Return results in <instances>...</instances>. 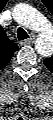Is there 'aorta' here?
Instances as JSON below:
<instances>
[{
  "label": "aorta",
  "mask_w": 53,
  "mask_h": 120,
  "mask_svg": "<svg viewBox=\"0 0 53 120\" xmlns=\"http://www.w3.org/2000/svg\"><path fill=\"white\" fill-rule=\"evenodd\" d=\"M15 14L20 17L26 27L40 31L36 49L40 54H44V49L48 46L50 47L52 42L48 21L37 10L29 6L17 7Z\"/></svg>",
  "instance_id": "aorta-1"
}]
</instances>
